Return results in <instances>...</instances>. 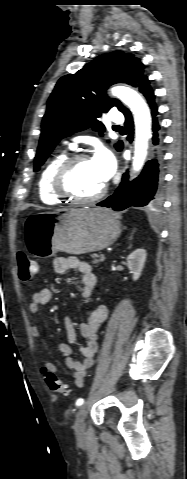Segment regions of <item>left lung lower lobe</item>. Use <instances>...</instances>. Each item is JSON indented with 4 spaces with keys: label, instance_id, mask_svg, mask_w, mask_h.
Listing matches in <instances>:
<instances>
[{
    "label": "left lung lower lobe",
    "instance_id": "left-lung-lower-lobe-1",
    "mask_svg": "<svg viewBox=\"0 0 187 479\" xmlns=\"http://www.w3.org/2000/svg\"><path fill=\"white\" fill-rule=\"evenodd\" d=\"M139 91L145 96L151 114L153 117V157L149 160L142 173L134 179L129 181L128 173L122 177V182L117 188L116 192L108 197L106 200L98 203V206L111 207L113 210H124L128 207H143L147 205L157 204L162 196L163 174H162V138L158 134L160 125L157 119V106L154 100L153 91L149 85V81L145 78L139 85ZM125 115V127L129 134L128 140H133L134 125L131 112L126 109L122 112ZM122 149V145L119 150Z\"/></svg>",
    "mask_w": 187,
    "mask_h": 479
}]
</instances>
